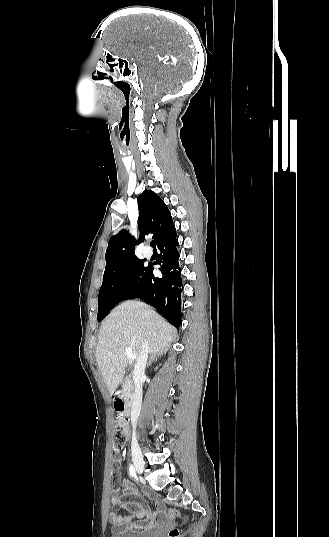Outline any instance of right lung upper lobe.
Returning <instances> with one entry per match:
<instances>
[{
    "label": "right lung upper lobe",
    "instance_id": "1",
    "mask_svg": "<svg viewBox=\"0 0 329 537\" xmlns=\"http://www.w3.org/2000/svg\"><path fill=\"white\" fill-rule=\"evenodd\" d=\"M138 210V228L140 231L138 241L126 229H122L112 236L106 250V266L137 258L134 254V247L136 243L143 242L146 235L152 234V238L159 243L175 229L166 204L153 191L145 190L139 195Z\"/></svg>",
    "mask_w": 329,
    "mask_h": 537
}]
</instances>
